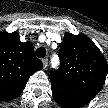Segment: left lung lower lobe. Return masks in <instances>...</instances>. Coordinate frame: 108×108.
Listing matches in <instances>:
<instances>
[{
	"label": "left lung lower lobe",
	"instance_id": "left-lung-lower-lobe-1",
	"mask_svg": "<svg viewBox=\"0 0 108 108\" xmlns=\"http://www.w3.org/2000/svg\"><path fill=\"white\" fill-rule=\"evenodd\" d=\"M51 88L54 100L66 108L82 107L100 91L97 88L81 87L59 80H52Z\"/></svg>",
	"mask_w": 108,
	"mask_h": 108
}]
</instances>
